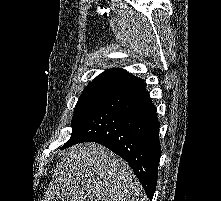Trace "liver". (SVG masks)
Listing matches in <instances>:
<instances>
[{
    "mask_svg": "<svg viewBox=\"0 0 221 201\" xmlns=\"http://www.w3.org/2000/svg\"><path fill=\"white\" fill-rule=\"evenodd\" d=\"M46 201H139L141 186L122 158L97 143L61 153Z\"/></svg>",
    "mask_w": 221,
    "mask_h": 201,
    "instance_id": "obj_1",
    "label": "liver"
}]
</instances>
